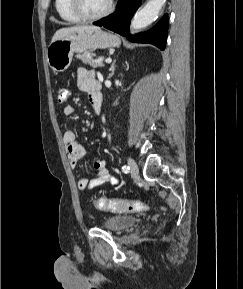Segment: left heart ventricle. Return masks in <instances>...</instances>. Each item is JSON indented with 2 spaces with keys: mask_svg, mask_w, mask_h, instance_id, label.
<instances>
[{
  "mask_svg": "<svg viewBox=\"0 0 243 289\" xmlns=\"http://www.w3.org/2000/svg\"><path fill=\"white\" fill-rule=\"evenodd\" d=\"M84 11L90 15L98 14L105 10L109 0H81Z\"/></svg>",
  "mask_w": 243,
  "mask_h": 289,
  "instance_id": "obj_1",
  "label": "left heart ventricle"
}]
</instances>
